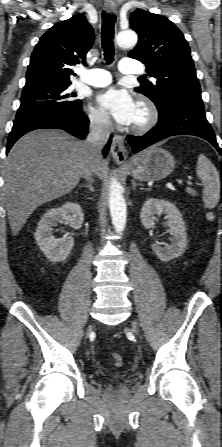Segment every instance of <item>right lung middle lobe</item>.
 I'll use <instances>...</instances> for the list:
<instances>
[{"instance_id":"obj_1","label":"right lung middle lobe","mask_w":222,"mask_h":447,"mask_svg":"<svg viewBox=\"0 0 222 447\" xmlns=\"http://www.w3.org/2000/svg\"><path fill=\"white\" fill-rule=\"evenodd\" d=\"M70 85L47 86L23 90L15 121H21L67 107H79L81 100L68 92Z\"/></svg>"}]
</instances>
